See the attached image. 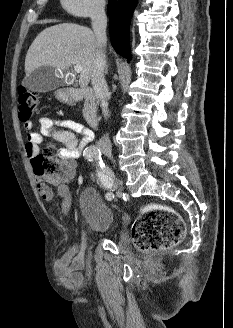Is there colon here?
Here are the masks:
<instances>
[{
	"mask_svg": "<svg viewBox=\"0 0 233 328\" xmlns=\"http://www.w3.org/2000/svg\"><path fill=\"white\" fill-rule=\"evenodd\" d=\"M18 106L21 121H30L38 107L36 93L19 87ZM55 155V147L49 145L33 158L32 164L36 175L43 178L64 177L66 173L60 170ZM184 234L185 224L181 216L174 209L163 205L144 207L132 228L133 242L142 252L171 249L183 240Z\"/></svg>",
	"mask_w": 233,
	"mask_h": 328,
	"instance_id": "obj_1",
	"label": "colon"
}]
</instances>
